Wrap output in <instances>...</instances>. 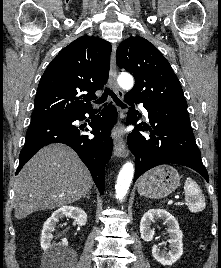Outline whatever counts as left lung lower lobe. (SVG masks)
<instances>
[{"label": "left lung lower lobe", "instance_id": "obj_1", "mask_svg": "<svg viewBox=\"0 0 221 268\" xmlns=\"http://www.w3.org/2000/svg\"><path fill=\"white\" fill-rule=\"evenodd\" d=\"M129 108L127 124L135 125L139 120L134 104L140 101L125 95ZM151 124L142 123L128 135V147L136 156L134 181L147 170L161 164H180L200 173L208 181V173L202 163L196 145L187 109L160 107L144 104ZM149 131L143 135L139 131Z\"/></svg>", "mask_w": 221, "mask_h": 268}]
</instances>
